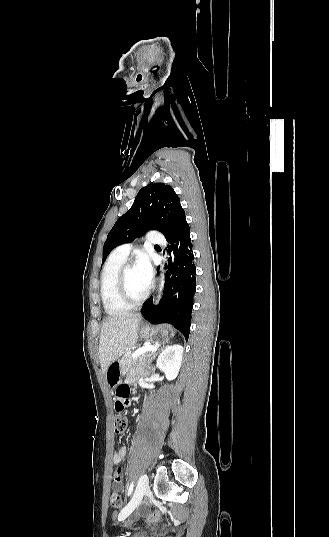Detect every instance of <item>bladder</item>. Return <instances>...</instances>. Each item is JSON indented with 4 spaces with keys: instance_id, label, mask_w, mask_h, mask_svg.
<instances>
[{
    "instance_id": "bladder-1",
    "label": "bladder",
    "mask_w": 329,
    "mask_h": 537,
    "mask_svg": "<svg viewBox=\"0 0 329 537\" xmlns=\"http://www.w3.org/2000/svg\"><path fill=\"white\" fill-rule=\"evenodd\" d=\"M133 537H145V534L144 533H141V534H136L135 536Z\"/></svg>"
}]
</instances>
